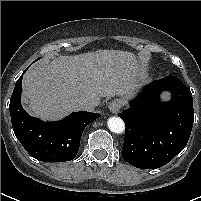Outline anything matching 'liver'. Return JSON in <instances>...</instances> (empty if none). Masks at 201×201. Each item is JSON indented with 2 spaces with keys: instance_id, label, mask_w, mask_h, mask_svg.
I'll list each match as a JSON object with an SVG mask.
<instances>
[{
  "instance_id": "obj_1",
  "label": "liver",
  "mask_w": 201,
  "mask_h": 201,
  "mask_svg": "<svg viewBox=\"0 0 201 201\" xmlns=\"http://www.w3.org/2000/svg\"><path fill=\"white\" fill-rule=\"evenodd\" d=\"M144 78L131 52L59 56L28 70L23 79L24 108L43 120H58L77 109L79 98L129 97Z\"/></svg>"
}]
</instances>
